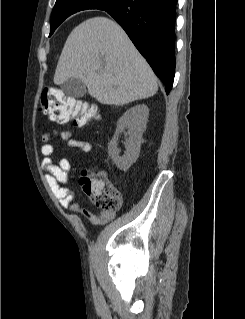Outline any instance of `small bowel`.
Instances as JSON below:
<instances>
[{
    "instance_id": "1",
    "label": "small bowel",
    "mask_w": 245,
    "mask_h": 319,
    "mask_svg": "<svg viewBox=\"0 0 245 319\" xmlns=\"http://www.w3.org/2000/svg\"><path fill=\"white\" fill-rule=\"evenodd\" d=\"M54 136L63 141L69 149H77L87 153L92 148L90 142L73 138L72 132L66 129L53 130L43 134L41 146L43 159L41 166L46 171L45 179L53 195L58 199L62 207L69 208L71 211L81 214L94 224H105L112 220L115 217L114 212H92L82 208L79 203L74 201L75 194L68 186L72 164L71 161L65 157L60 158L57 163L54 162V148L51 143V139Z\"/></svg>"
}]
</instances>
